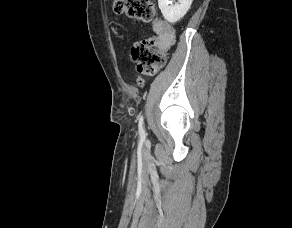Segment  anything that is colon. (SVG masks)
Masks as SVG:
<instances>
[{"mask_svg":"<svg viewBox=\"0 0 292 228\" xmlns=\"http://www.w3.org/2000/svg\"><path fill=\"white\" fill-rule=\"evenodd\" d=\"M112 9L116 14L143 22L153 21L155 8L149 0H114ZM154 29L157 36L137 41L131 49L137 71L145 75H154L165 63V54L173 42V32L164 22L156 21ZM143 83L142 79L138 80Z\"/></svg>","mask_w":292,"mask_h":228,"instance_id":"1","label":"colon"}]
</instances>
